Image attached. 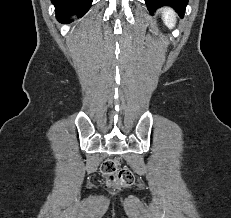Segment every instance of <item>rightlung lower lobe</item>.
I'll use <instances>...</instances> for the list:
<instances>
[{"mask_svg": "<svg viewBox=\"0 0 231 218\" xmlns=\"http://www.w3.org/2000/svg\"><path fill=\"white\" fill-rule=\"evenodd\" d=\"M55 6L57 19L64 21L72 14L86 13L93 0H51Z\"/></svg>", "mask_w": 231, "mask_h": 218, "instance_id": "1", "label": "right lung lower lobe"}]
</instances>
